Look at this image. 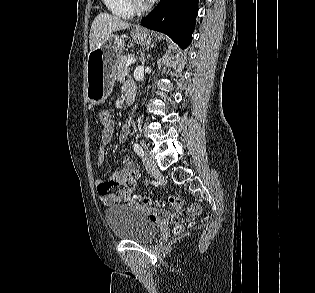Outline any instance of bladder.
<instances>
[{"mask_svg":"<svg viewBox=\"0 0 315 293\" xmlns=\"http://www.w3.org/2000/svg\"><path fill=\"white\" fill-rule=\"evenodd\" d=\"M105 219L113 236L119 240L149 243L158 234L155 223L137 206H112L106 211Z\"/></svg>","mask_w":315,"mask_h":293,"instance_id":"obj_1","label":"bladder"}]
</instances>
